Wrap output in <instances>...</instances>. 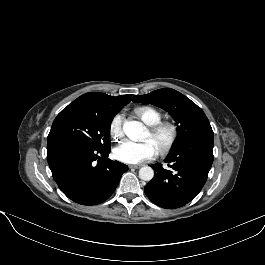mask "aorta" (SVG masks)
Here are the masks:
<instances>
[{"mask_svg": "<svg viewBox=\"0 0 265 265\" xmlns=\"http://www.w3.org/2000/svg\"><path fill=\"white\" fill-rule=\"evenodd\" d=\"M124 133L131 139H142L145 135L146 128L143 123L132 120L123 124ZM141 180L150 181L154 177V171L149 166H144L139 170Z\"/></svg>", "mask_w": 265, "mask_h": 265, "instance_id": "762f6f07", "label": "aorta"}]
</instances>
